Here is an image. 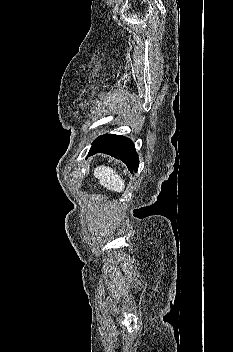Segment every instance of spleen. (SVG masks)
Here are the masks:
<instances>
[{"label": "spleen", "mask_w": 233, "mask_h": 352, "mask_svg": "<svg viewBox=\"0 0 233 352\" xmlns=\"http://www.w3.org/2000/svg\"><path fill=\"white\" fill-rule=\"evenodd\" d=\"M94 176L99 180L100 185L108 190L121 193L125 189L124 180L114 169L108 166L101 165L96 167L94 170Z\"/></svg>", "instance_id": "spleen-1"}]
</instances>
